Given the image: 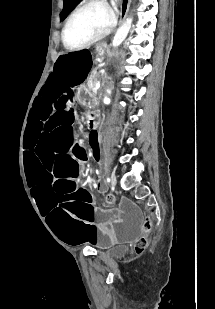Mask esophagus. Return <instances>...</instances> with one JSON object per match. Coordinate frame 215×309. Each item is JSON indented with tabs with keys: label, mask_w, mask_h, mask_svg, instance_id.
I'll return each mask as SVG.
<instances>
[{
	"label": "esophagus",
	"mask_w": 215,
	"mask_h": 309,
	"mask_svg": "<svg viewBox=\"0 0 215 309\" xmlns=\"http://www.w3.org/2000/svg\"><path fill=\"white\" fill-rule=\"evenodd\" d=\"M131 0H121V13H120V22H123L128 13L129 5Z\"/></svg>",
	"instance_id": "obj_1"
}]
</instances>
